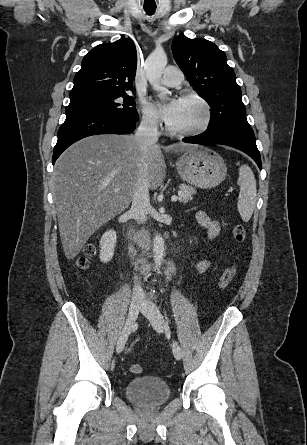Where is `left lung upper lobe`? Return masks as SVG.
<instances>
[{"label":"left lung upper lobe","mask_w":307,"mask_h":445,"mask_svg":"<svg viewBox=\"0 0 307 445\" xmlns=\"http://www.w3.org/2000/svg\"><path fill=\"white\" fill-rule=\"evenodd\" d=\"M172 52L194 90L211 107L207 130L228 125L250 127L241 89L223 51L208 40L178 35Z\"/></svg>","instance_id":"obj_1"}]
</instances>
